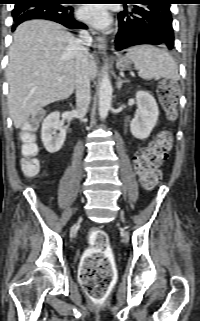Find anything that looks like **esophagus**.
I'll use <instances>...</instances> for the list:
<instances>
[{"instance_id": "obj_1", "label": "esophagus", "mask_w": 200, "mask_h": 321, "mask_svg": "<svg viewBox=\"0 0 200 321\" xmlns=\"http://www.w3.org/2000/svg\"><path fill=\"white\" fill-rule=\"evenodd\" d=\"M96 43H97V48L99 52L101 54H104L107 47L105 39L101 36H96Z\"/></svg>"}]
</instances>
